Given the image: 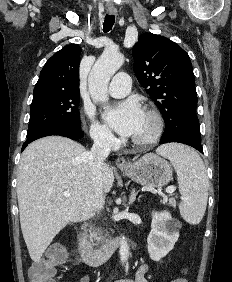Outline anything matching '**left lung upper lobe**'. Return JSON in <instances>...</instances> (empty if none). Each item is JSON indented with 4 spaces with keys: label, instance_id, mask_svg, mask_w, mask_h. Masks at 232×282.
I'll list each match as a JSON object with an SVG mask.
<instances>
[{
    "label": "left lung upper lobe",
    "instance_id": "1",
    "mask_svg": "<svg viewBox=\"0 0 232 282\" xmlns=\"http://www.w3.org/2000/svg\"><path fill=\"white\" fill-rule=\"evenodd\" d=\"M134 72L155 101L165 123L180 114L197 117V94L188 54L168 38L142 34L132 49Z\"/></svg>",
    "mask_w": 232,
    "mask_h": 282
}]
</instances>
